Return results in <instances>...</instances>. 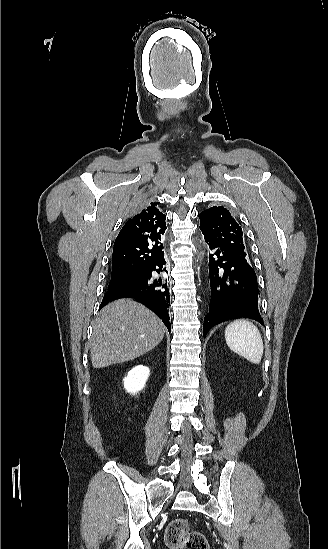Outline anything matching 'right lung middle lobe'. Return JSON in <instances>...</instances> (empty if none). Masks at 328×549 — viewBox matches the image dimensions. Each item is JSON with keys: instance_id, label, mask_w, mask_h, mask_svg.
<instances>
[{"instance_id": "dd1d6c3e", "label": "right lung middle lobe", "mask_w": 328, "mask_h": 549, "mask_svg": "<svg viewBox=\"0 0 328 549\" xmlns=\"http://www.w3.org/2000/svg\"><path fill=\"white\" fill-rule=\"evenodd\" d=\"M142 274L143 272H131V273H125L120 275H113L111 276V281L109 283L108 288H113L122 283L141 278Z\"/></svg>"}]
</instances>
